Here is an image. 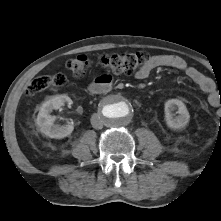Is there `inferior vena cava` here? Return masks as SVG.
<instances>
[{
    "label": "inferior vena cava",
    "mask_w": 221,
    "mask_h": 221,
    "mask_svg": "<svg viewBox=\"0 0 221 221\" xmlns=\"http://www.w3.org/2000/svg\"><path fill=\"white\" fill-rule=\"evenodd\" d=\"M91 125L94 129H102L103 128V119L102 117L95 113L91 117Z\"/></svg>",
    "instance_id": "602c4592"
}]
</instances>
